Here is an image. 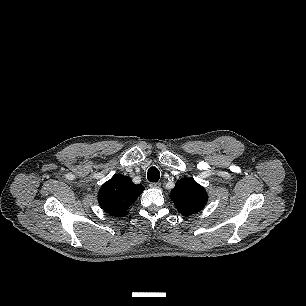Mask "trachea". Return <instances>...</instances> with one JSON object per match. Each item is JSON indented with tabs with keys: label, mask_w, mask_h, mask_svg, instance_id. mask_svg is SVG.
Listing matches in <instances>:
<instances>
[{
	"label": "trachea",
	"mask_w": 306,
	"mask_h": 306,
	"mask_svg": "<svg viewBox=\"0 0 306 306\" xmlns=\"http://www.w3.org/2000/svg\"><path fill=\"white\" fill-rule=\"evenodd\" d=\"M160 178L159 170L156 167H151L147 172V179L150 182H157Z\"/></svg>",
	"instance_id": "obj_1"
}]
</instances>
